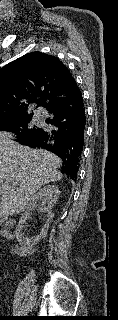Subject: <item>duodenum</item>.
I'll return each instance as SVG.
<instances>
[{
  "label": "duodenum",
  "instance_id": "obj_1",
  "mask_svg": "<svg viewBox=\"0 0 118 320\" xmlns=\"http://www.w3.org/2000/svg\"><path fill=\"white\" fill-rule=\"evenodd\" d=\"M12 225H13V221L9 220V221H7V223H6V228H4V229L2 230V235H3L4 237L8 238V239H11V238L13 237V235H12V233H11V231H10V228L12 227Z\"/></svg>",
  "mask_w": 118,
  "mask_h": 320
}]
</instances>
